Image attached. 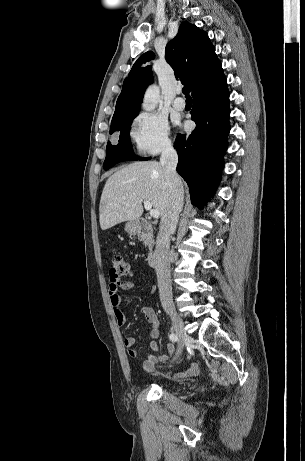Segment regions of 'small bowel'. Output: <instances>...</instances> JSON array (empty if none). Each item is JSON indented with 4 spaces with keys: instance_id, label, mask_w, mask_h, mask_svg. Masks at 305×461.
<instances>
[{
    "instance_id": "small-bowel-1",
    "label": "small bowel",
    "mask_w": 305,
    "mask_h": 461,
    "mask_svg": "<svg viewBox=\"0 0 305 461\" xmlns=\"http://www.w3.org/2000/svg\"><path fill=\"white\" fill-rule=\"evenodd\" d=\"M137 286L129 281V280H122V279H113L110 278V283L108 287V294L111 303V307L114 313L115 321L118 325H123L126 322V317L120 308L121 303V295L119 293L120 290H132L135 289ZM147 289L150 293H154L155 288L143 286ZM142 315L145 319L151 324L152 329L150 332V348L153 351L152 353L148 354L145 360L142 362V369L145 372H153L155 370V366L160 361H165L168 356H172L174 353V347L172 344H167L165 347V354H160V348L156 341L159 335V318L155 312V310L151 307L145 306L141 309ZM124 345L127 349V352L130 356H136L137 354V347H136V339L134 337H127L124 340ZM200 372V364L194 363L192 364L189 369L185 372H181L176 375V378H186L197 376Z\"/></svg>"
}]
</instances>
